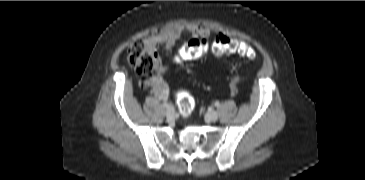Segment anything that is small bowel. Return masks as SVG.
<instances>
[{
    "label": "small bowel",
    "instance_id": "obj_1",
    "mask_svg": "<svg viewBox=\"0 0 365 180\" xmlns=\"http://www.w3.org/2000/svg\"><path fill=\"white\" fill-rule=\"evenodd\" d=\"M184 35H191L193 38H203L208 35V29L198 24L183 27H173L168 28L145 40V44L155 51L157 63L155 67V75L145 78L144 82L152 89L155 95L161 98H166L169 94V87L164 82L162 75L169 71L171 66L161 62L156 53V49L159 47L171 49ZM233 81H237V79L234 78Z\"/></svg>",
    "mask_w": 365,
    "mask_h": 180
}]
</instances>
